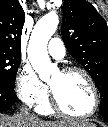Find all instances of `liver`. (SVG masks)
Segmentation results:
<instances>
[{
  "mask_svg": "<svg viewBox=\"0 0 108 127\" xmlns=\"http://www.w3.org/2000/svg\"><path fill=\"white\" fill-rule=\"evenodd\" d=\"M90 124L85 120L43 121L28 113L0 114V127H81Z\"/></svg>",
  "mask_w": 108,
  "mask_h": 127,
  "instance_id": "obj_1",
  "label": "liver"
}]
</instances>
